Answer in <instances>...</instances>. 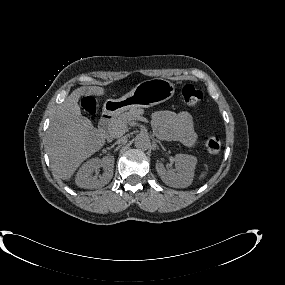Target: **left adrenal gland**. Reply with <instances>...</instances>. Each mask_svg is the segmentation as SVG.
Masks as SVG:
<instances>
[{"instance_id":"a2214340","label":"left adrenal gland","mask_w":285,"mask_h":285,"mask_svg":"<svg viewBox=\"0 0 285 285\" xmlns=\"http://www.w3.org/2000/svg\"><path fill=\"white\" fill-rule=\"evenodd\" d=\"M156 142L159 143L162 148H164V146L162 145V143L159 140H156Z\"/></svg>"}]
</instances>
